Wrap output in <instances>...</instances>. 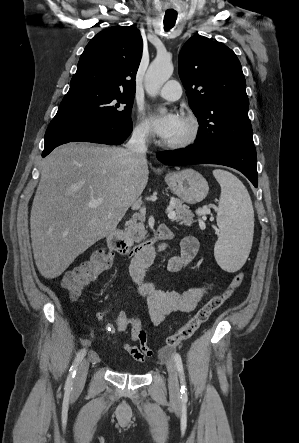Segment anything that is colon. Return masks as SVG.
<instances>
[{
	"instance_id": "1",
	"label": "colon",
	"mask_w": 299,
	"mask_h": 443,
	"mask_svg": "<svg viewBox=\"0 0 299 443\" xmlns=\"http://www.w3.org/2000/svg\"><path fill=\"white\" fill-rule=\"evenodd\" d=\"M113 259L114 253L111 249L100 248L96 250L88 262H84L64 274L62 278L63 288L72 298H77L89 284L111 266ZM244 280L245 274L243 272L236 273L224 291L213 295L177 332L166 338L167 350L169 351L192 337L212 313L219 309L234 291L242 285ZM113 327L116 333H130L131 340L135 344H139L146 337V331L140 318L129 310L118 312Z\"/></svg>"
}]
</instances>
